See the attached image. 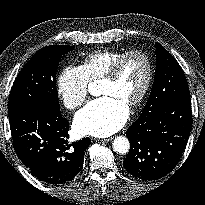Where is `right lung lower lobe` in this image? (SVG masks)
Returning a JSON list of instances; mask_svg holds the SVG:
<instances>
[{
    "label": "right lung lower lobe",
    "mask_w": 205,
    "mask_h": 205,
    "mask_svg": "<svg viewBox=\"0 0 205 205\" xmlns=\"http://www.w3.org/2000/svg\"><path fill=\"white\" fill-rule=\"evenodd\" d=\"M14 149L39 180L52 185L70 181L83 168L90 138L68 143V121L31 104L8 106Z\"/></svg>",
    "instance_id": "right-lung-lower-lobe-1"
}]
</instances>
